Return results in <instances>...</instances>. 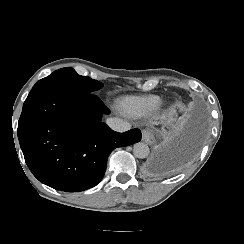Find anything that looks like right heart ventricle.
Masks as SVG:
<instances>
[{
    "label": "right heart ventricle",
    "instance_id": "1",
    "mask_svg": "<svg viewBox=\"0 0 244 244\" xmlns=\"http://www.w3.org/2000/svg\"><path fill=\"white\" fill-rule=\"evenodd\" d=\"M159 104L160 99L156 96L145 98L127 97L119 102L118 108L122 114L137 118L151 115Z\"/></svg>",
    "mask_w": 244,
    "mask_h": 244
}]
</instances>
